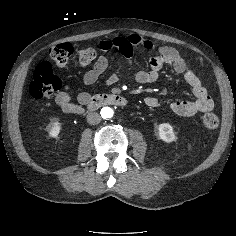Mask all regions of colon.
I'll return each mask as SVG.
<instances>
[{"label":"colon","instance_id":"1","mask_svg":"<svg viewBox=\"0 0 236 236\" xmlns=\"http://www.w3.org/2000/svg\"><path fill=\"white\" fill-rule=\"evenodd\" d=\"M74 49L68 43L58 44L49 50L51 60L57 66L66 65ZM96 56L93 48H81L77 52L78 62L82 67L89 66ZM61 88V80L54 74L49 62L40 63L33 74L29 86V92L35 99L50 97ZM219 117L215 113H206L203 116V124L209 129H215L219 125Z\"/></svg>","mask_w":236,"mask_h":236}]
</instances>
